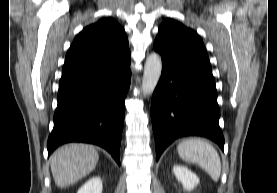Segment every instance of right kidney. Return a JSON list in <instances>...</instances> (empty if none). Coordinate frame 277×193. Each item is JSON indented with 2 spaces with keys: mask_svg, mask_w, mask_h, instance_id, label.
Instances as JSON below:
<instances>
[{
  "mask_svg": "<svg viewBox=\"0 0 277 193\" xmlns=\"http://www.w3.org/2000/svg\"><path fill=\"white\" fill-rule=\"evenodd\" d=\"M103 186L100 177H93L89 179L77 193H102Z\"/></svg>",
  "mask_w": 277,
  "mask_h": 193,
  "instance_id": "ca27d5eb",
  "label": "right kidney"
}]
</instances>
